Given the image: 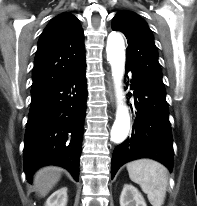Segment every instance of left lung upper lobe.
<instances>
[{"instance_id":"5c2ea615","label":"left lung upper lobe","mask_w":197,"mask_h":206,"mask_svg":"<svg viewBox=\"0 0 197 206\" xmlns=\"http://www.w3.org/2000/svg\"><path fill=\"white\" fill-rule=\"evenodd\" d=\"M112 29L121 31L128 39L126 68L165 92L157 48L147 23L134 12L122 10L113 18Z\"/></svg>"}]
</instances>
